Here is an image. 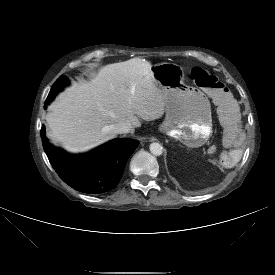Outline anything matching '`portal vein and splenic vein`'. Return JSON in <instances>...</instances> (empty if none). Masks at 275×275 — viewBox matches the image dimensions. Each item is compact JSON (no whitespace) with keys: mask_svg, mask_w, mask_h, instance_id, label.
Wrapping results in <instances>:
<instances>
[{"mask_svg":"<svg viewBox=\"0 0 275 275\" xmlns=\"http://www.w3.org/2000/svg\"><path fill=\"white\" fill-rule=\"evenodd\" d=\"M209 152L212 153V149H210Z\"/></svg>","mask_w":275,"mask_h":275,"instance_id":"18ae733b","label":"portal vein and splenic vein"}]
</instances>
